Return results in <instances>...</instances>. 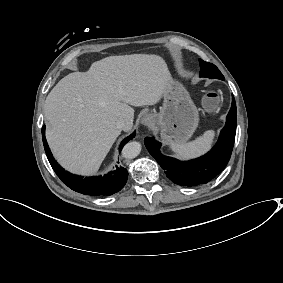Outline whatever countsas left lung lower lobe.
<instances>
[{
  "mask_svg": "<svg viewBox=\"0 0 283 283\" xmlns=\"http://www.w3.org/2000/svg\"><path fill=\"white\" fill-rule=\"evenodd\" d=\"M236 119V104L232 96V106L218 142L207 154L194 160L183 162L162 155L161 143L152 137H146L144 142L150 154L173 183L190 187L206 184L226 167L230 159L235 140Z\"/></svg>",
  "mask_w": 283,
  "mask_h": 283,
  "instance_id": "left-lung-lower-lobe-1",
  "label": "left lung lower lobe"
}]
</instances>
